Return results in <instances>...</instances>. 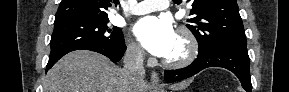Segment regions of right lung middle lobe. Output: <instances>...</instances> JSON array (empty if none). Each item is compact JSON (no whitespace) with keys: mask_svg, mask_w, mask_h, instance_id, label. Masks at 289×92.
<instances>
[{"mask_svg":"<svg viewBox=\"0 0 289 92\" xmlns=\"http://www.w3.org/2000/svg\"><path fill=\"white\" fill-rule=\"evenodd\" d=\"M108 18L79 17L54 22L50 56L84 44L116 45L123 39L120 28H109Z\"/></svg>","mask_w":289,"mask_h":92,"instance_id":"obj_1","label":"right lung middle lobe"}]
</instances>
